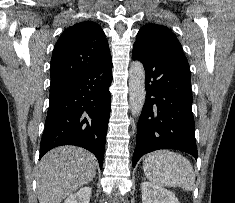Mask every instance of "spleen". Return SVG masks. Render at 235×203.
Returning <instances> with one entry per match:
<instances>
[{
  "instance_id": "obj_1",
  "label": "spleen",
  "mask_w": 235,
  "mask_h": 203,
  "mask_svg": "<svg viewBox=\"0 0 235 203\" xmlns=\"http://www.w3.org/2000/svg\"><path fill=\"white\" fill-rule=\"evenodd\" d=\"M146 178L161 187H181L187 191L195 188V173L189 160L181 154L159 150L143 158Z\"/></svg>"
}]
</instances>
